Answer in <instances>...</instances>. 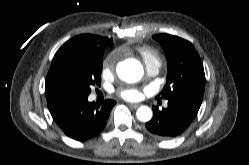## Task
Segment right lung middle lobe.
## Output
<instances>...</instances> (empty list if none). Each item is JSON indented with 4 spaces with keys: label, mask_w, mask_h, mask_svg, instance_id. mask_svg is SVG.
<instances>
[{
    "label": "right lung middle lobe",
    "mask_w": 249,
    "mask_h": 165,
    "mask_svg": "<svg viewBox=\"0 0 249 165\" xmlns=\"http://www.w3.org/2000/svg\"><path fill=\"white\" fill-rule=\"evenodd\" d=\"M102 50L73 47L56 62L55 85L64 95L88 96L92 85L101 84Z\"/></svg>",
    "instance_id": "dd1d6c3e"
}]
</instances>
